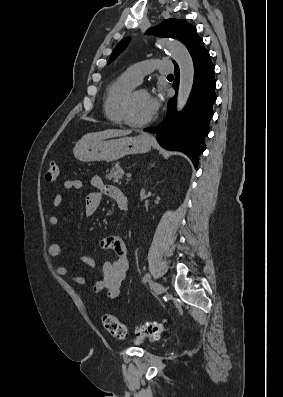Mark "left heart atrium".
<instances>
[{
	"instance_id": "1",
	"label": "left heart atrium",
	"mask_w": 283,
	"mask_h": 397,
	"mask_svg": "<svg viewBox=\"0 0 283 397\" xmlns=\"http://www.w3.org/2000/svg\"><path fill=\"white\" fill-rule=\"evenodd\" d=\"M160 103H161V100H160L159 97H157V96L153 97V96L149 95V97H148V109H149V112H150V114L152 116L158 111V109L160 107Z\"/></svg>"
}]
</instances>
